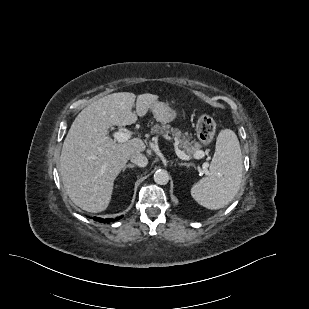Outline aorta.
<instances>
[{
	"label": "aorta",
	"mask_w": 309,
	"mask_h": 309,
	"mask_svg": "<svg viewBox=\"0 0 309 309\" xmlns=\"http://www.w3.org/2000/svg\"><path fill=\"white\" fill-rule=\"evenodd\" d=\"M154 181L159 185H166L169 181V174L164 169H158L154 173Z\"/></svg>",
	"instance_id": "aorta-1"
}]
</instances>
